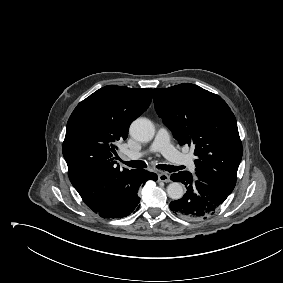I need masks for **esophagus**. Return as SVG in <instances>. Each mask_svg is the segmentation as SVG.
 Returning <instances> with one entry per match:
<instances>
[{
    "label": "esophagus",
    "mask_w": 283,
    "mask_h": 283,
    "mask_svg": "<svg viewBox=\"0 0 283 283\" xmlns=\"http://www.w3.org/2000/svg\"><path fill=\"white\" fill-rule=\"evenodd\" d=\"M158 179H159V181H162V182H165V183H168V182L171 181L170 176L165 172L159 173Z\"/></svg>",
    "instance_id": "esophagus-1"
}]
</instances>
